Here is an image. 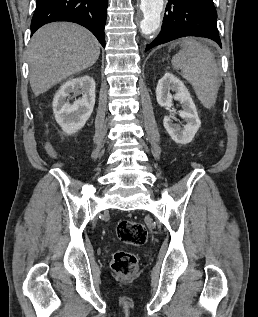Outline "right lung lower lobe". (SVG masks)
I'll use <instances>...</instances> for the list:
<instances>
[{
	"label": "right lung lower lobe",
	"mask_w": 258,
	"mask_h": 317,
	"mask_svg": "<svg viewBox=\"0 0 258 317\" xmlns=\"http://www.w3.org/2000/svg\"><path fill=\"white\" fill-rule=\"evenodd\" d=\"M108 0H36L31 35L54 21L78 23L89 29L105 47V23Z\"/></svg>",
	"instance_id": "1"
}]
</instances>
